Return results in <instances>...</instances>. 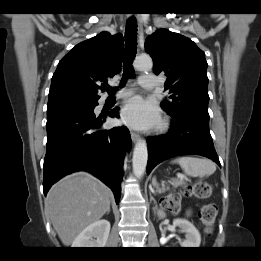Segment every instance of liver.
<instances>
[{
	"mask_svg": "<svg viewBox=\"0 0 261 261\" xmlns=\"http://www.w3.org/2000/svg\"><path fill=\"white\" fill-rule=\"evenodd\" d=\"M110 189L86 172L71 174L52 186L46 208L60 240L69 246L110 208Z\"/></svg>",
	"mask_w": 261,
	"mask_h": 261,
	"instance_id": "obj_1",
	"label": "liver"
}]
</instances>
